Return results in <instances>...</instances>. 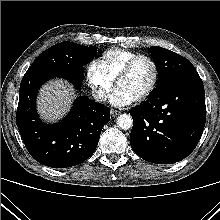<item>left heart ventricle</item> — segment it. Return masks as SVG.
<instances>
[{
  "instance_id": "1",
  "label": "left heart ventricle",
  "mask_w": 220,
  "mask_h": 220,
  "mask_svg": "<svg viewBox=\"0 0 220 220\" xmlns=\"http://www.w3.org/2000/svg\"><path fill=\"white\" fill-rule=\"evenodd\" d=\"M152 75L151 64L146 60H140L127 75L118 81V86L127 90L136 99L149 86Z\"/></svg>"
}]
</instances>
